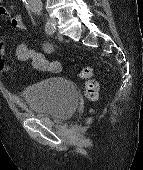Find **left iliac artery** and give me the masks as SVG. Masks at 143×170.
I'll use <instances>...</instances> for the list:
<instances>
[{"instance_id":"44dca946","label":"left iliac artery","mask_w":143,"mask_h":170,"mask_svg":"<svg viewBox=\"0 0 143 170\" xmlns=\"http://www.w3.org/2000/svg\"><path fill=\"white\" fill-rule=\"evenodd\" d=\"M45 28L47 33H54L55 31V26L50 25L48 22L46 23Z\"/></svg>"}]
</instances>
